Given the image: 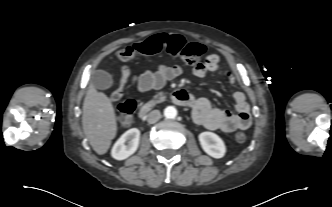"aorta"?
I'll return each mask as SVG.
<instances>
[{"mask_svg":"<svg viewBox=\"0 0 332 207\" xmlns=\"http://www.w3.org/2000/svg\"><path fill=\"white\" fill-rule=\"evenodd\" d=\"M164 116L167 119H174L177 116V110L173 106H168L164 109Z\"/></svg>","mask_w":332,"mask_h":207,"instance_id":"obj_1","label":"aorta"}]
</instances>
